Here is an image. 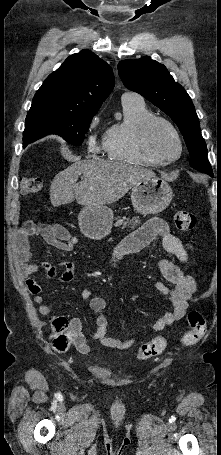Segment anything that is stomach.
<instances>
[{
	"mask_svg": "<svg viewBox=\"0 0 221 455\" xmlns=\"http://www.w3.org/2000/svg\"><path fill=\"white\" fill-rule=\"evenodd\" d=\"M173 198L170 185L156 176L138 182L132 189L131 201L141 214H157L165 210ZM81 232L92 240L105 238L112 229L113 212L106 205L85 206L78 215Z\"/></svg>",
	"mask_w": 221,
	"mask_h": 455,
	"instance_id": "1",
	"label": "stomach"
}]
</instances>
